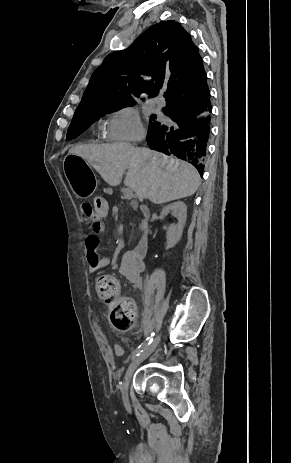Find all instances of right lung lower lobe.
<instances>
[{
	"instance_id": "right-lung-lower-lobe-1",
	"label": "right lung lower lobe",
	"mask_w": 291,
	"mask_h": 463,
	"mask_svg": "<svg viewBox=\"0 0 291 463\" xmlns=\"http://www.w3.org/2000/svg\"><path fill=\"white\" fill-rule=\"evenodd\" d=\"M202 86L206 89L199 102L190 106L175 105L163 110L171 124L158 122L149 128L148 146L166 155H175L191 163L202 176L204 158L211 130L210 91L205 75Z\"/></svg>"
}]
</instances>
